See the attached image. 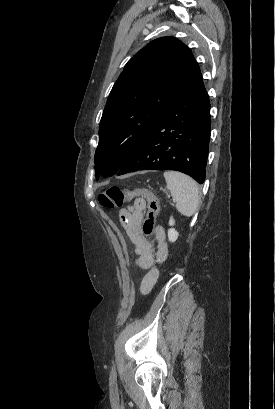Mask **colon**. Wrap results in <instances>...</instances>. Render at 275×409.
Masks as SVG:
<instances>
[{
  "instance_id": "5ec220e1",
  "label": "colon",
  "mask_w": 275,
  "mask_h": 409,
  "mask_svg": "<svg viewBox=\"0 0 275 409\" xmlns=\"http://www.w3.org/2000/svg\"><path fill=\"white\" fill-rule=\"evenodd\" d=\"M137 197H144L148 201V211L142 225V231L145 236H150L153 234L160 206L158 199L149 190H123L119 187L113 186L105 190L98 199L101 205L105 207L104 214L106 216H111L113 214V209H119L123 204L128 203Z\"/></svg>"
}]
</instances>
